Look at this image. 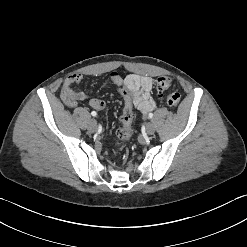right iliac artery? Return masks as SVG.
I'll use <instances>...</instances> for the list:
<instances>
[{
  "mask_svg": "<svg viewBox=\"0 0 247 247\" xmlns=\"http://www.w3.org/2000/svg\"><path fill=\"white\" fill-rule=\"evenodd\" d=\"M91 115L94 116V117H96L97 116V113L95 111H92L91 112Z\"/></svg>",
  "mask_w": 247,
  "mask_h": 247,
  "instance_id": "obj_1",
  "label": "right iliac artery"
}]
</instances>
